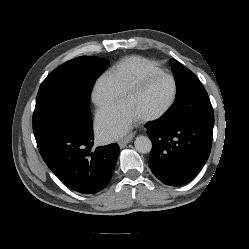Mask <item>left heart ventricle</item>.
<instances>
[{
	"instance_id": "b2bd125f",
	"label": "left heart ventricle",
	"mask_w": 249,
	"mask_h": 249,
	"mask_svg": "<svg viewBox=\"0 0 249 249\" xmlns=\"http://www.w3.org/2000/svg\"><path fill=\"white\" fill-rule=\"evenodd\" d=\"M172 94V82L166 77H158L147 83L142 89L125 98L130 108L143 117L159 111L168 102Z\"/></svg>"
}]
</instances>
